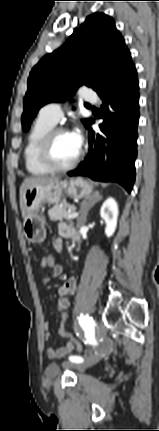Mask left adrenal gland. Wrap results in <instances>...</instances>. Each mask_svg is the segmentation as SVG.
<instances>
[{"mask_svg": "<svg viewBox=\"0 0 159 431\" xmlns=\"http://www.w3.org/2000/svg\"><path fill=\"white\" fill-rule=\"evenodd\" d=\"M101 199H102V196L97 191L92 197H90L88 200H85L81 203V209H80L81 216L78 218L79 226L86 222L89 210Z\"/></svg>", "mask_w": 159, "mask_h": 431, "instance_id": "obj_1", "label": "left adrenal gland"}]
</instances>
